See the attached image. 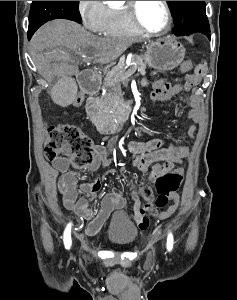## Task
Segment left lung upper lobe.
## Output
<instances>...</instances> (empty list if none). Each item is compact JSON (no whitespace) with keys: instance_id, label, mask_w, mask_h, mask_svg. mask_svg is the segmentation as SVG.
<instances>
[{"instance_id":"5c2ea615","label":"left lung upper lobe","mask_w":237,"mask_h":300,"mask_svg":"<svg viewBox=\"0 0 237 300\" xmlns=\"http://www.w3.org/2000/svg\"><path fill=\"white\" fill-rule=\"evenodd\" d=\"M174 17V34H205L210 39V27L206 16L205 1H168Z\"/></svg>"}]
</instances>
